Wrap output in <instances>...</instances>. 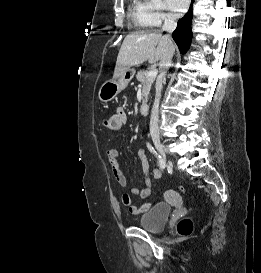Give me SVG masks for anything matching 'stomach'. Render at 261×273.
<instances>
[{"instance_id":"obj_1","label":"stomach","mask_w":261,"mask_h":273,"mask_svg":"<svg viewBox=\"0 0 261 273\" xmlns=\"http://www.w3.org/2000/svg\"><path fill=\"white\" fill-rule=\"evenodd\" d=\"M133 77L134 70L129 69L125 71L120 77L107 80L101 85L98 91V99L102 102L111 101L128 85Z\"/></svg>"}]
</instances>
